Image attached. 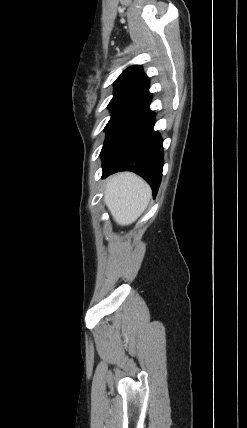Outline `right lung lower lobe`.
Segmentation results:
<instances>
[{
    "label": "right lung lower lobe",
    "instance_id": "1",
    "mask_svg": "<svg viewBox=\"0 0 247 428\" xmlns=\"http://www.w3.org/2000/svg\"><path fill=\"white\" fill-rule=\"evenodd\" d=\"M152 95H139L107 128L101 157L103 178L132 171L144 178L155 197L162 178V138L153 130L155 114L149 109Z\"/></svg>",
    "mask_w": 247,
    "mask_h": 428
}]
</instances>
